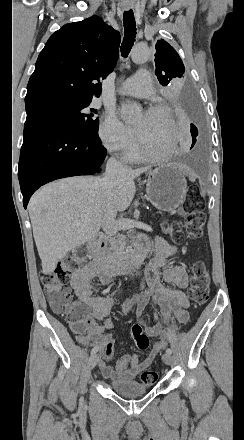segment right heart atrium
<instances>
[{
	"label": "right heart atrium",
	"instance_id": "right-heart-atrium-1",
	"mask_svg": "<svg viewBox=\"0 0 244 440\" xmlns=\"http://www.w3.org/2000/svg\"><path fill=\"white\" fill-rule=\"evenodd\" d=\"M99 136L110 152L130 151L139 135L134 127L121 122L113 111H106L99 128Z\"/></svg>",
	"mask_w": 244,
	"mask_h": 440
}]
</instances>
